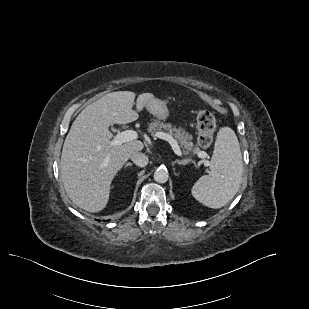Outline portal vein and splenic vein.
<instances>
[{
	"label": "portal vein and splenic vein",
	"instance_id": "1",
	"mask_svg": "<svg viewBox=\"0 0 309 309\" xmlns=\"http://www.w3.org/2000/svg\"><path fill=\"white\" fill-rule=\"evenodd\" d=\"M155 136L157 138H160V139H163V140H166L169 142V144L171 145L174 153L178 156H182V151L177 143V141L169 134L167 133H164V132H157L155 134ZM138 137V134L136 131H133V130H126V131H123V132H120L118 133L114 139L111 141V146H117V145H121L125 142H128V141H132L134 139H137ZM198 157L199 158H205L207 157V153L204 152V151H200V153L198 154ZM209 161L206 160L204 162V165L207 167L209 166Z\"/></svg>",
	"mask_w": 309,
	"mask_h": 309
}]
</instances>
